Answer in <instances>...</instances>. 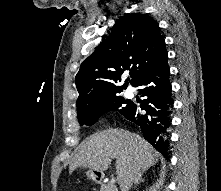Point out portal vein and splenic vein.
Masks as SVG:
<instances>
[{
  "mask_svg": "<svg viewBox=\"0 0 221 191\" xmlns=\"http://www.w3.org/2000/svg\"><path fill=\"white\" fill-rule=\"evenodd\" d=\"M115 181H116L115 179L111 180V184H114V183H115Z\"/></svg>",
  "mask_w": 221,
  "mask_h": 191,
  "instance_id": "18ae733b",
  "label": "portal vein and splenic vein"
}]
</instances>
